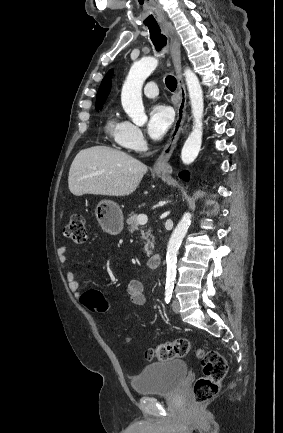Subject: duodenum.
<instances>
[{
    "instance_id": "obj_1",
    "label": "duodenum",
    "mask_w": 283,
    "mask_h": 433,
    "mask_svg": "<svg viewBox=\"0 0 283 433\" xmlns=\"http://www.w3.org/2000/svg\"><path fill=\"white\" fill-rule=\"evenodd\" d=\"M161 255L159 253H155L151 255L148 259L147 265L151 269H156L159 267L161 263Z\"/></svg>"
}]
</instances>
